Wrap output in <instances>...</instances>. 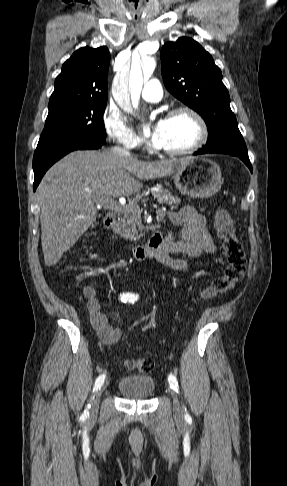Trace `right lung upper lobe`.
<instances>
[{"label": "right lung upper lobe", "mask_w": 287, "mask_h": 486, "mask_svg": "<svg viewBox=\"0 0 287 486\" xmlns=\"http://www.w3.org/2000/svg\"><path fill=\"white\" fill-rule=\"evenodd\" d=\"M110 53L107 47H83L63 64L48 107L83 100H107Z\"/></svg>", "instance_id": "1"}]
</instances>
